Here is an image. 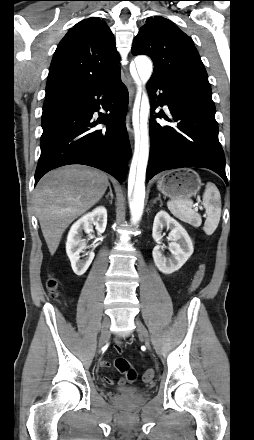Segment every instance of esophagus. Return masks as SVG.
I'll list each match as a JSON object with an SVG mask.
<instances>
[{
	"instance_id": "obj_1",
	"label": "esophagus",
	"mask_w": 254,
	"mask_h": 440,
	"mask_svg": "<svg viewBox=\"0 0 254 440\" xmlns=\"http://www.w3.org/2000/svg\"><path fill=\"white\" fill-rule=\"evenodd\" d=\"M126 76H127V84H128V89H129L130 105H131L133 98H134V95H135V87L133 85V82H132L130 76L128 74H126ZM126 126H127L128 132H129V136L131 138L132 137V129L130 127V115L129 114L127 115V118H126Z\"/></svg>"
}]
</instances>
